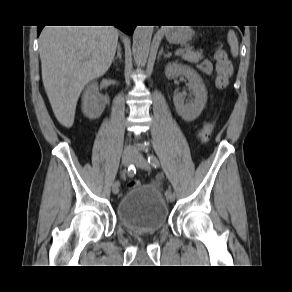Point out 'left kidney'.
Masks as SVG:
<instances>
[{
    "label": "left kidney",
    "instance_id": "obj_1",
    "mask_svg": "<svg viewBox=\"0 0 292 292\" xmlns=\"http://www.w3.org/2000/svg\"><path fill=\"white\" fill-rule=\"evenodd\" d=\"M165 75L174 79L184 75L188 79V89L193 99L185 103V93H177L173 97L177 113L187 122L194 121L203 111L207 102L206 87L198 73L189 66L169 63L165 68Z\"/></svg>",
    "mask_w": 292,
    "mask_h": 292
}]
</instances>
